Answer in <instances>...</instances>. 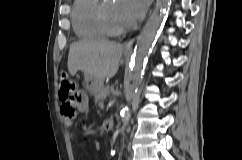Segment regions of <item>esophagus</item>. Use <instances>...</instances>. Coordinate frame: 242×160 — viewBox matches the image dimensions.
Masks as SVG:
<instances>
[{
    "label": "esophagus",
    "instance_id": "obj_1",
    "mask_svg": "<svg viewBox=\"0 0 242 160\" xmlns=\"http://www.w3.org/2000/svg\"><path fill=\"white\" fill-rule=\"evenodd\" d=\"M134 40L135 39L132 38L128 42L125 43V45H124V51L125 52H127V53L132 52Z\"/></svg>",
    "mask_w": 242,
    "mask_h": 160
}]
</instances>
